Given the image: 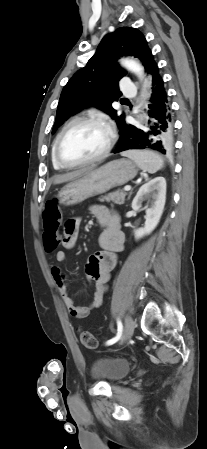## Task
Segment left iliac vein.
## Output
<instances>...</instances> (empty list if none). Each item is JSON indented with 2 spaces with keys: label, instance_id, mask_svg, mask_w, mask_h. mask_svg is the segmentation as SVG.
Returning a JSON list of instances; mask_svg holds the SVG:
<instances>
[{
  "label": "left iliac vein",
  "instance_id": "left-iliac-vein-1",
  "mask_svg": "<svg viewBox=\"0 0 207 449\" xmlns=\"http://www.w3.org/2000/svg\"><path fill=\"white\" fill-rule=\"evenodd\" d=\"M134 328H135V324L133 319L130 316H127L125 319V329H124V333L120 339V344H123L125 341H127L134 332Z\"/></svg>",
  "mask_w": 207,
  "mask_h": 449
}]
</instances>
